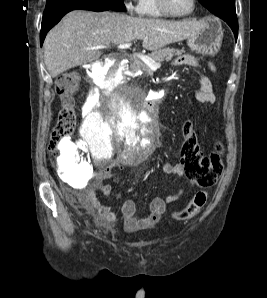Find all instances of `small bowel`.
Masks as SVG:
<instances>
[{
  "mask_svg": "<svg viewBox=\"0 0 267 298\" xmlns=\"http://www.w3.org/2000/svg\"><path fill=\"white\" fill-rule=\"evenodd\" d=\"M173 64L175 66H187L193 69H199L197 59L191 55H181L177 57ZM212 71L216 70L214 63L209 64ZM195 99L200 103L213 104L216 101V96L213 91V83L208 76L199 73L197 78V88L194 92ZM162 172L169 176L185 177V171L181 164H164L162 165ZM104 173L107 175L108 170ZM112 188L109 184L101 186V192L105 196L111 194ZM185 190H179L166 197H155L149 204L148 214L145 217L139 218L136 216V205L133 200H125L122 203L121 211L123 214L124 228L127 231L144 230L154 227L161 219L166 206L178 200ZM83 205L90 211L95 213V221L106 227H112L118 220V217L113 213L109 207L102 205L96 198L95 192L89 189L80 198Z\"/></svg>",
  "mask_w": 267,
  "mask_h": 298,
  "instance_id": "1",
  "label": "small bowel"
}]
</instances>
